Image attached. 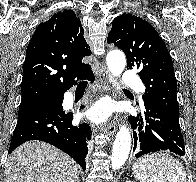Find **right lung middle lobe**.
<instances>
[{
	"mask_svg": "<svg viewBox=\"0 0 196 182\" xmlns=\"http://www.w3.org/2000/svg\"><path fill=\"white\" fill-rule=\"evenodd\" d=\"M61 100V97L47 99L41 102L27 104V105H20L18 117L36 112L41 110H47L54 106H56Z\"/></svg>",
	"mask_w": 196,
	"mask_h": 182,
	"instance_id": "1",
	"label": "right lung middle lobe"
}]
</instances>
